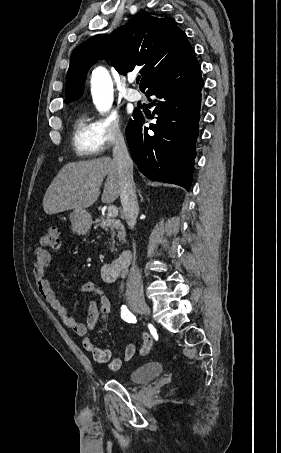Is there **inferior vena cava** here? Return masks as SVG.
<instances>
[{"label": "inferior vena cava", "instance_id": "602c4592", "mask_svg": "<svg viewBox=\"0 0 281 453\" xmlns=\"http://www.w3.org/2000/svg\"><path fill=\"white\" fill-rule=\"evenodd\" d=\"M113 156V160H116L118 164L121 204L124 208L129 229H133L136 224L139 206L136 198V186L133 180V164L122 132H116L114 136ZM128 299L144 301L143 281L139 269H136V265L132 267L128 277Z\"/></svg>", "mask_w": 281, "mask_h": 453}]
</instances>
